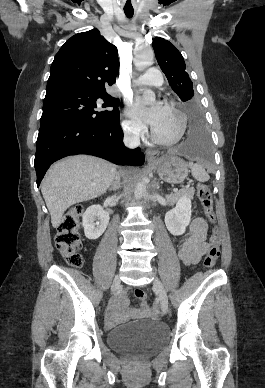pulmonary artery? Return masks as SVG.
I'll return each instance as SVG.
<instances>
[{
    "label": "pulmonary artery",
    "mask_w": 265,
    "mask_h": 388,
    "mask_svg": "<svg viewBox=\"0 0 265 388\" xmlns=\"http://www.w3.org/2000/svg\"><path fill=\"white\" fill-rule=\"evenodd\" d=\"M146 75H142V78L137 83L141 86H161L162 81L160 75H158L157 69H146Z\"/></svg>",
    "instance_id": "e3ab8cb5"
}]
</instances>
